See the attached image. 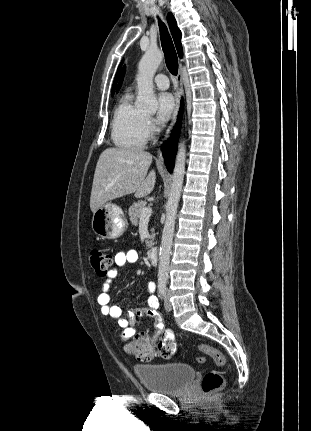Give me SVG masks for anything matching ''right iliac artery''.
<instances>
[{"label":"right iliac artery","instance_id":"82829eb1","mask_svg":"<svg viewBox=\"0 0 311 431\" xmlns=\"http://www.w3.org/2000/svg\"><path fill=\"white\" fill-rule=\"evenodd\" d=\"M166 291V285L165 283H159L158 284V295L160 298H163Z\"/></svg>","mask_w":311,"mask_h":431}]
</instances>
